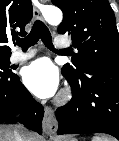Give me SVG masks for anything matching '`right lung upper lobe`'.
Segmentation results:
<instances>
[{
    "instance_id": "obj_1",
    "label": "right lung upper lobe",
    "mask_w": 119,
    "mask_h": 141,
    "mask_svg": "<svg viewBox=\"0 0 119 141\" xmlns=\"http://www.w3.org/2000/svg\"><path fill=\"white\" fill-rule=\"evenodd\" d=\"M32 15L31 0H0V57H10L8 42L26 34L24 28Z\"/></svg>"
}]
</instances>
